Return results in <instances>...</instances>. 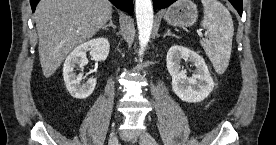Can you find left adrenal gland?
<instances>
[{"mask_svg":"<svg viewBox=\"0 0 276 145\" xmlns=\"http://www.w3.org/2000/svg\"><path fill=\"white\" fill-rule=\"evenodd\" d=\"M166 36H173V37L179 38L177 35L171 33L170 29H167V33L164 35V37Z\"/></svg>","mask_w":276,"mask_h":145,"instance_id":"obj_1","label":"left adrenal gland"}]
</instances>
